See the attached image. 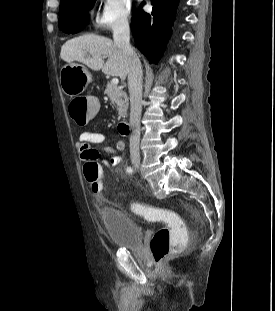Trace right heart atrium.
<instances>
[{"instance_id":"obj_1","label":"right heart atrium","mask_w":275,"mask_h":311,"mask_svg":"<svg viewBox=\"0 0 275 311\" xmlns=\"http://www.w3.org/2000/svg\"><path fill=\"white\" fill-rule=\"evenodd\" d=\"M102 7L95 19V26L100 30L114 31L128 27L130 0H102Z\"/></svg>"}]
</instances>
